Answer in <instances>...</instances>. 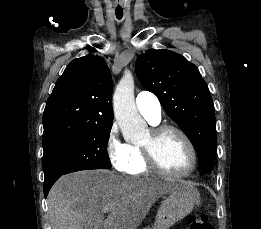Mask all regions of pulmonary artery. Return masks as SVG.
<instances>
[{"mask_svg": "<svg viewBox=\"0 0 261 229\" xmlns=\"http://www.w3.org/2000/svg\"><path fill=\"white\" fill-rule=\"evenodd\" d=\"M136 106L139 113L152 125L161 119V103L156 95L148 91L139 92L136 96Z\"/></svg>", "mask_w": 261, "mask_h": 229, "instance_id": "1", "label": "pulmonary artery"}]
</instances>
